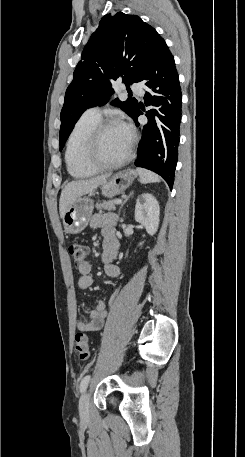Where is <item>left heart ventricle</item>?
<instances>
[{
  "instance_id": "1",
  "label": "left heart ventricle",
  "mask_w": 245,
  "mask_h": 457,
  "mask_svg": "<svg viewBox=\"0 0 245 457\" xmlns=\"http://www.w3.org/2000/svg\"><path fill=\"white\" fill-rule=\"evenodd\" d=\"M129 144L130 136L121 127L109 128L102 135L99 144L91 147L88 157L93 163L112 161L122 156Z\"/></svg>"
}]
</instances>
